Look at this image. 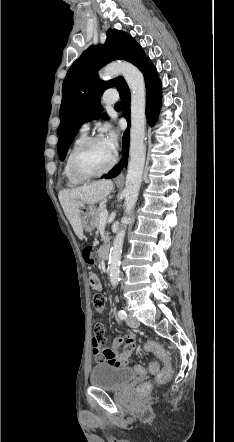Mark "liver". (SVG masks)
<instances>
[{"label":"liver","mask_w":234,"mask_h":442,"mask_svg":"<svg viewBox=\"0 0 234 442\" xmlns=\"http://www.w3.org/2000/svg\"><path fill=\"white\" fill-rule=\"evenodd\" d=\"M113 189L111 180H100L89 185L65 189L59 192V201L75 234L83 239V227L80 218V207L103 200Z\"/></svg>","instance_id":"1"}]
</instances>
